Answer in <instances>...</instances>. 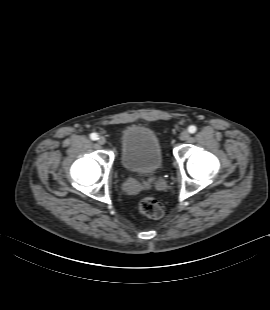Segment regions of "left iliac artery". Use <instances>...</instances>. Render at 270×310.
Masks as SVG:
<instances>
[{"instance_id": "obj_1", "label": "left iliac artery", "mask_w": 270, "mask_h": 310, "mask_svg": "<svg viewBox=\"0 0 270 310\" xmlns=\"http://www.w3.org/2000/svg\"><path fill=\"white\" fill-rule=\"evenodd\" d=\"M196 130H197V128H196V126H194V125H191V126H189V128H188V131H189L190 133H195Z\"/></svg>"}]
</instances>
